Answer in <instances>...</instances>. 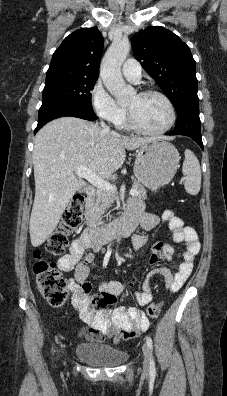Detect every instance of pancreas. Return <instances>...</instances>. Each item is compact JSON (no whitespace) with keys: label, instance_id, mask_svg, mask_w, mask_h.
Masks as SVG:
<instances>
[{"label":"pancreas","instance_id":"1","mask_svg":"<svg viewBox=\"0 0 227 396\" xmlns=\"http://www.w3.org/2000/svg\"><path fill=\"white\" fill-rule=\"evenodd\" d=\"M132 187L137 191V196L139 198H147L146 190L139 182H134ZM114 200H117L114 193L104 191L99 192L95 200H92L86 207L87 223L91 226H99L103 224L102 217Z\"/></svg>","mask_w":227,"mask_h":396}]
</instances>
